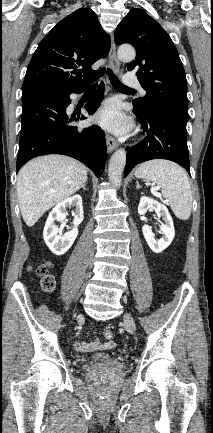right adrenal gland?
Instances as JSON below:
<instances>
[{"instance_id":"1","label":"right adrenal gland","mask_w":213,"mask_h":433,"mask_svg":"<svg viewBox=\"0 0 213 433\" xmlns=\"http://www.w3.org/2000/svg\"><path fill=\"white\" fill-rule=\"evenodd\" d=\"M86 183H87V181H85L84 184L81 186V188H82L83 190H86Z\"/></svg>"}]
</instances>
